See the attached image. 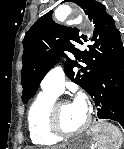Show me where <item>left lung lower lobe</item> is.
I'll return each instance as SVG.
<instances>
[{
	"label": "left lung lower lobe",
	"mask_w": 124,
	"mask_h": 149,
	"mask_svg": "<svg viewBox=\"0 0 124 149\" xmlns=\"http://www.w3.org/2000/svg\"><path fill=\"white\" fill-rule=\"evenodd\" d=\"M86 92L99 119L117 121L124 128V56L104 67Z\"/></svg>",
	"instance_id": "obj_1"
}]
</instances>
